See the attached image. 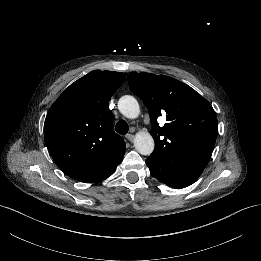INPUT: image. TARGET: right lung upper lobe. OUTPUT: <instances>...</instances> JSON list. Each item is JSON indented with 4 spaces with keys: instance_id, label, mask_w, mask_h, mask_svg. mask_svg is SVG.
Listing matches in <instances>:
<instances>
[{
    "instance_id": "obj_1",
    "label": "right lung upper lobe",
    "mask_w": 261,
    "mask_h": 261,
    "mask_svg": "<svg viewBox=\"0 0 261 261\" xmlns=\"http://www.w3.org/2000/svg\"><path fill=\"white\" fill-rule=\"evenodd\" d=\"M124 80L121 72L94 70L72 83L49 109L45 144L69 177L92 183L121 162L126 146L113 130L108 102Z\"/></svg>"
}]
</instances>
